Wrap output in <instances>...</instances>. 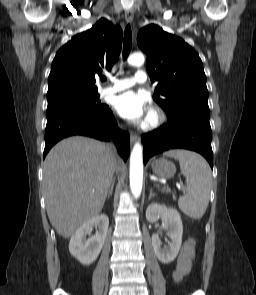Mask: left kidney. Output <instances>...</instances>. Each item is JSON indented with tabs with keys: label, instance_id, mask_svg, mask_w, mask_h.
Segmentation results:
<instances>
[{
	"label": "left kidney",
	"instance_id": "1",
	"mask_svg": "<svg viewBox=\"0 0 256 295\" xmlns=\"http://www.w3.org/2000/svg\"><path fill=\"white\" fill-rule=\"evenodd\" d=\"M146 219L151 223L162 219L171 241L162 248L158 234H153L152 246L156 257L161 263H171L178 255L182 244L183 224L179 212L163 204L152 203L146 209Z\"/></svg>",
	"mask_w": 256,
	"mask_h": 295
}]
</instances>
